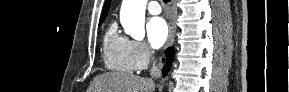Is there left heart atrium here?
Listing matches in <instances>:
<instances>
[{"instance_id":"39dd6f15","label":"left heart atrium","mask_w":289,"mask_h":92,"mask_svg":"<svg viewBox=\"0 0 289 92\" xmlns=\"http://www.w3.org/2000/svg\"><path fill=\"white\" fill-rule=\"evenodd\" d=\"M169 35V27L161 17H154L147 23V36L154 49L162 47Z\"/></svg>"}]
</instances>
